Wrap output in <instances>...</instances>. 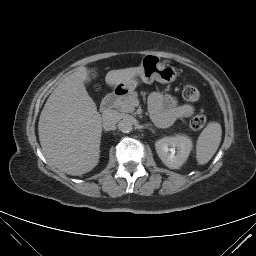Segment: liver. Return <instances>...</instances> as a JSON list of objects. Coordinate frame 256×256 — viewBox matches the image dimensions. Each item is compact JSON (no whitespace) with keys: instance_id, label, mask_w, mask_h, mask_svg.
I'll use <instances>...</instances> for the list:
<instances>
[{"instance_id":"liver-1","label":"liver","mask_w":256,"mask_h":256,"mask_svg":"<svg viewBox=\"0 0 256 256\" xmlns=\"http://www.w3.org/2000/svg\"><path fill=\"white\" fill-rule=\"evenodd\" d=\"M140 67L109 71L110 86L138 74ZM86 67L67 75L51 93L41 112L38 134L42 149L51 164L69 175H82L97 166L100 158L102 118L84 82Z\"/></svg>"}]
</instances>
